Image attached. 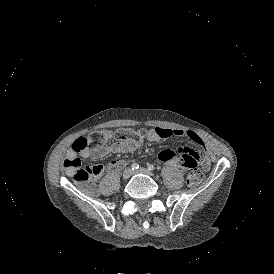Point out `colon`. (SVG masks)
<instances>
[{
	"label": "colon",
	"instance_id": "colon-1",
	"mask_svg": "<svg viewBox=\"0 0 274 274\" xmlns=\"http://www.w3.org/2000/svg\"><path fill=\"white\" fill-rule=\"evenodd\" d=\"M96 137H100L101 140H108L111 137H115L120 142H134L141 139L145 135V131L142 129H117V130H104L96 132ZM88 146V139L79 138L75 139V146L71 147L70 154L64 159L63 167L65 171L70 174L77 183H86L96 175L104 171V166L101 164L96 165H82L79 158V153L83 147ZM205 179L203 172L197 168L189 172L187 177L188 185L191 188L200 186Z\"/></svg>",
	"mask_w": 274,
	"mask_h": 274
}]
</instances>
